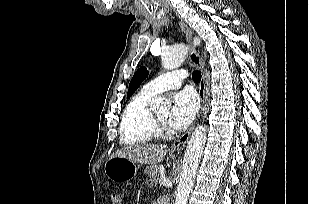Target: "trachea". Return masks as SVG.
Masks as SVG:
<instances>
[{
  "label": "trachea",
  "mask_w": 309,
  "mask_h": 204,
  "mask_svg": "<svg viewBox=\"0 0 309 204\" xmlns=\"http://www.w3.org/2000/svg\"><path fill=\"white\" fill-rule=\"evenodd\" d=\"M192 78L195 83H199L201 80V72L198 70L194 71L192 74Z\"/></svg>",
  "instance_id": "1"
}]
</instances>
